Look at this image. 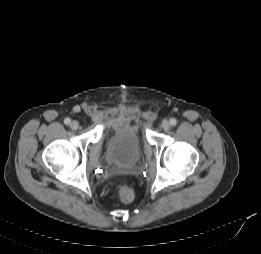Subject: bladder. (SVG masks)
Wrapping results in <instances>:
<instances>
[{
  "label": "bladder",
  "instance_id": "31cf9c89",
  "mask_svg": "<svg viewBox=\"0 0 261 254\" xmlns=\"http://www.w3.org/2000/svg\"><path fill=\"white\" fill-rule=\"evenodd\" d=\"M141 149L139 130L131 124H124L116 128L108 138L106 157L110 164L128 168L138 161Z\"/></svg>",
  "mask_w": 261,
  "mask_h": 254
}]
</instances>
